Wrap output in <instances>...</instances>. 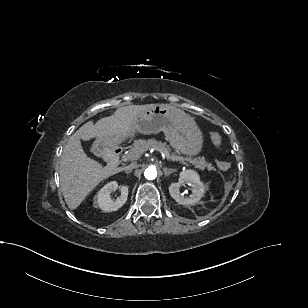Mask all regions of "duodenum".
Wrapping results in <instances>:
<instances>
[{
    "label": "duodenum",
    "instance_id": "1",
    "mask_svg": "<svg viewBox=\"0 0 308 308\" xmlns=\"http://www.w3.org/2000/svg\"><path fill=\"white\" fill-rule=\"evenodd\" d=\"M101 152L109 162L112 164H117L121 158L123 149L118 145H111L104 148Z\"/></svg>",
    "mask_w": 308,
    "mask_h": 308
}]
</instances>
